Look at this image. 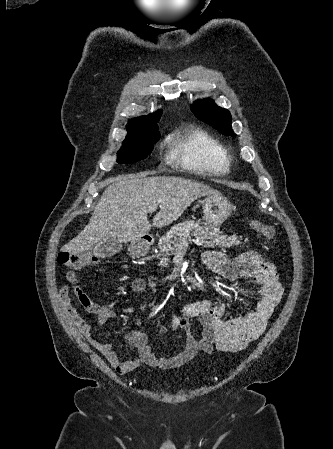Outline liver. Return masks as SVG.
<instances>
[{
  "mask_svg": "<svg viewBox=\"0 0 333 449\" xmlns=\"http://www.w3.org/2000/svg\"><path fill=\"white\" fill-rule=\"evenodd\" d=\"M146 175L111 179L88 225L61 250L74 254L86 252L109 237L124 243L140 240L152 226L162 228L177 220L198 198L220 194L199 181ZM154 205H159L160 211L151 225L147 214Z\"/></svg>",
  "mask_w": 333,
  "mask_h": 449,
  "instance_id": "6515ba94",
  "label": "liver"
}]
</instances>
